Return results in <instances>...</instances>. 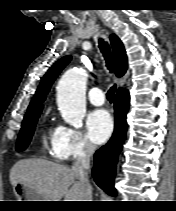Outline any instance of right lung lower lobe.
<instances>
[{"instance_id": "1", "label": "right lung lower lobe", "mask_w": 176, "mask_h": 211, "mask_svg": "<svg viewBox=\"0 0 176 211\" xmlns=\"http://www.w3.org/2000/svg\"><path fill=\"white\" fill-rule=\"evenodd\" d=\"M115 129L110 141L94 155L92 174L95 182L109 195L115 196L114 176L118 155L126 136V114L129 108L127 90L117 92L115 100Z\"/></svg>"}]
</instances>
